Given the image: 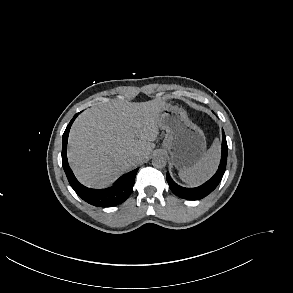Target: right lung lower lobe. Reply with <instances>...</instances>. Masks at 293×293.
<instances>
[{"label": "right lung lower lobe", "mask_w": 293, "mask_h": 293, "mask_svg": "<svg viewBox=\"0 0 293 293\" xmlns=\"http://www.w3.org/2000/svg\"><path fill=\"white\" fill-rule=\"evenodd\" d=\"M78 114L79 113H77L73 117L63 134L62 166L64 168L68 181L76 194L91 205L98 207H111L118 205L124 202L129 197L133 189L138 168L120 179L115 186L107 189H91L79 183L69 167L66 153L69 130L72 122Z\"/></svg>", "instance_id": "1"}]
</instances>
